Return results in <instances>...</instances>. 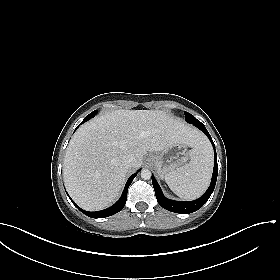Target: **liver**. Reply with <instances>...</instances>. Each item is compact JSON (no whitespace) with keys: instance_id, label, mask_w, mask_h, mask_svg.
I'll return each instance as SVG.
<instances>
[{"instance_id":"6515ba94","label":"liver","mask_w":280,"mask_h":280,"mask_svg":"<svg viewBox=\"0 0 280 280\" xmlns=\"http://www.w3.org/2000/svg\"><path fill=\"white\" fill-rule=\"evenodd\" d=\"M205 144L195 128L160 110H115L83 124L66 149L63 178L72 199L89 211L108 207L119 196L127 173L139 168L147 152L175 144ZM135 161L127 168L126 155Z\"/></svg>"}]
</instances>
